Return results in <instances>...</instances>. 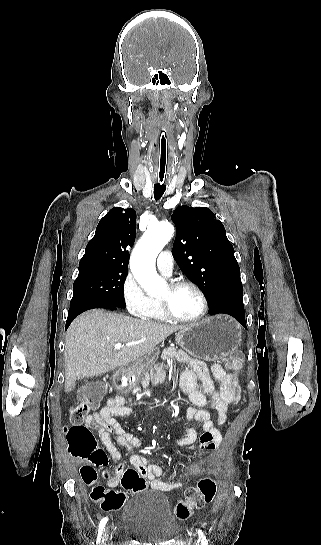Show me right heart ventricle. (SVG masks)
Segmentation results:
<instances>
[{
	"label": "right heart ventricle",
	"mask_w": 321,
	"mask_h": 545,
	"mask_svg": "<svg viewBox=\"0 0 321 545\" xmlns=\"http://www.w3.org/2000/svg\"><path fill=\"white\" fill-rule=\"evenodd\" d=\"M145 320L149 322H164L167 321V318L161 312L158 304L154 303L148 317L145 318Z\"/></svg>",
	"instance_id": "1"
}]
</instances>
